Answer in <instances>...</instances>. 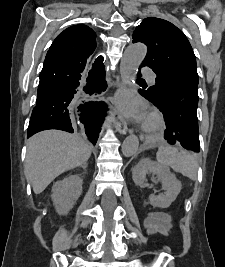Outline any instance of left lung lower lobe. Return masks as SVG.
Masks as SVG:
<instances>
[{"mask_svg":"<svg viewBox=\"0 0 225 267\" xmlns=\"http://www.w3.org/2000/svg\"><path fill=\"white\" fill-rule=\"evenodd\" d=\"M139 92L162 111L166 121L164 137L168 143L180 144L190 151L199 152L198 84L190 80L180 81L167 89L160 102L149 96L146 89Z\"/></svg>","mask_w":225,"mask_h":267,"instance_id":"0a47b994","label":"left lung lower lobe"}]
</instances>
